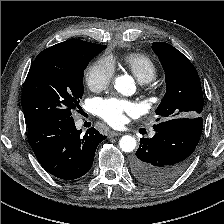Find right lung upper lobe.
Returning <instances> with one entry per match:
<instances>
[{
    "label": "right lung upper lobe",
    "instance_id": "obj_1",
    "mask_svg": "<svg viewBox=\"0 0 224 224\" xmlns=\"http://www.w3.org/2000/svg\"><path fill=\"white\" fill-rule=\"evenodd\" d=\"M93 46L94 43L72 39L49 47L43 50L39 55H77L89 51Z\"/></svg>",
    "mask_w": 224,
    "mask_h": 224
}]
</instances>
